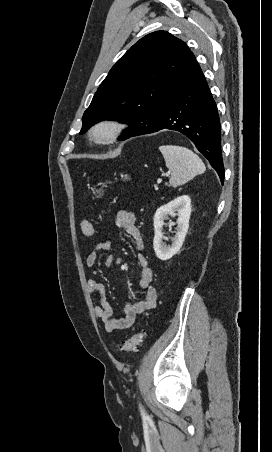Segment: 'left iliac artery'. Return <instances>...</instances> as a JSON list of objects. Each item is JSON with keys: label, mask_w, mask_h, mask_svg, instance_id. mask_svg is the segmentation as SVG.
I'll list each match as a JSON object with an SVG mask.
<instances>
[{"label": "left iliac artery", "mask_w": 272, "mask_h": 452, "mask_svg": "<svg viewBox=\"0 0 272 452\" xmlns=\"http://www.w3.org/2000/svg\"><path fill=\"white\" fill-rule=\"evenodd\" d=\"M139 407H140L141 415L143 417H145L146 416V412H145L144 408L141 405H139Z\"/></svg>", "instance_id": "left-iliac-artery-1"}]
</instances>
